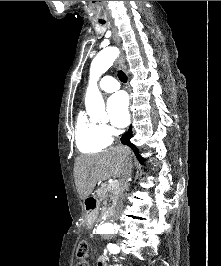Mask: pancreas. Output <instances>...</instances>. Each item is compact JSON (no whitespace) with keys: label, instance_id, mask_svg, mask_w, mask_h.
<instances>
[{"label":"pancreas","instance_id":"cf45deb5","mask_svg":"<svg viewBox=\"0 0 221 266\" xmlns=\"http://www.w3.org/2000/svg\"><path fill=\"white\" fill-rule=\"evenodd\" d=\"M100 201H103L105 204L110 200L112 202V208L118 200L119 189L118 188H109V185L103 184L96 191Z\"/></svg>","mask_w":221,"mask_h":266}]
</instances>
